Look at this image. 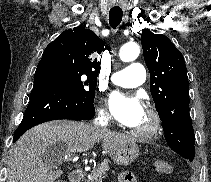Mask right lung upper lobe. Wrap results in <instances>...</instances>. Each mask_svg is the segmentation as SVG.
<instances>
[{"instance_id":"1","label":"right lung upper lobe","mask_w":211,"mask_h":182,"mask_svg":"<svg viewBox=\"0 0 211 182\" xmlns=\"http://www.w3.org/2000/svg\"><path fill=\"white\" fill-rule=\"evenodd\" d=\"M105 43L91 30L82 26L65 30L51 42L42 54L41 61L53 62L76 68L85 74L97 77L100 62L94 54H100Z\"/></svg>"}]
</instances>
